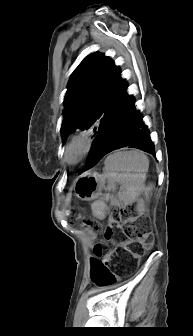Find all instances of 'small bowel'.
Here are the masks:
<instances>
[{
  "instance_id": "1",
  "label": "small bowel",
  "mask_w": 193,
  "mask_h": 336,
  "mask_svg": "<svg viewBox=\"0 0 193 336\" xmlns=\"http://www.w3.org/2000/svg\"><path fill=\"white\" fill-rule=\"evenodd\" d=\"M92 271H93V263L91 264V276H92Z\"/></svg>"
}]
</instances>
